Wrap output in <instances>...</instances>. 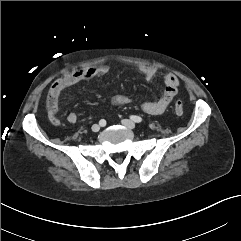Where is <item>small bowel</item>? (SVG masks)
<instances>
[{
  "label": "small bowel",
  "mask_w": 241,
  "mask_h": 241,
  "mask_svg": "<svg viewBox=\"0 0 241 241\" xmlns=\"http://www.w3.org/2000/svg\"><path fill=\"white\" fill-rule=\"evenodd\" d=\"M109 71L110 67L108 65L82 68L71 72V74L74 76V79L71 82H68L65 86L57 87L55 84H53L49 90L47 98V113L49 121L55 126H59L61 124V121L57 116L59 111L58 102L61 93L66 88L82 81L96 79L107 74ZM138 73L147 81H151L155 78L157 71L153 67L143 66L138 69ZM162 78L165 86L160 97L157 100L147 101L142 104L143 111L148 114L159 115L163 113L178 91L179 80L174 74L167 73L164 74ZM111 102L113 105L120 106L130 104L132 99L124 95H116L112 97ZM66 119L69 123H76L78 116L76 113L70 112L68 113Z\"/></svg>",
  "instance_id": "obj_1"
}]
</instances>
